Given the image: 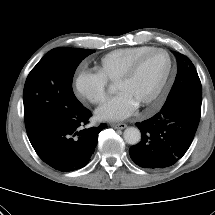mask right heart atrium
Wrapping results in <instances>:
<instances>
[{"label":"right heart atrium","instance_id":"right-heart-atrium-1","mask_svg":"<svg viewBox=\"0 0 215 215\" xmlns=\"http://www.w3.org/2000/svg\"><path fill=\"white\" fill-rule=\"evenodd\" d=\"M107 80L93 70H80L74 77V91L76 96L91 104H100L107 97Z\"/></svg>","mask_w":215,"mask_h":215}]
</instances>
